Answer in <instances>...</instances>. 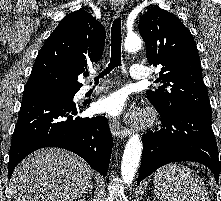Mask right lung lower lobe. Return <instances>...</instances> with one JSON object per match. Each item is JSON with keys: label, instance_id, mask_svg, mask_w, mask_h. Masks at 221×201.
Returning <instances> with one entry per match:
<instances>
[{"label": "right lung lower lobe", "instance_id": "98d812e1", "mask_svg": "<svg viewBox=\"0 0 221 201\" xmlns=\"http://www.w3.org/2000/svg\"><path fill=\"white\" fill-rule=\"evenodd\" d=\"M82 111L72 97L24 96L12 137L9 178L24 157L43 147L70 150L105 176L113 146L108 121L103 116L76 117Z\"/></svg>", "mask_w": 221, "mask_h": 201}]
</instances>
